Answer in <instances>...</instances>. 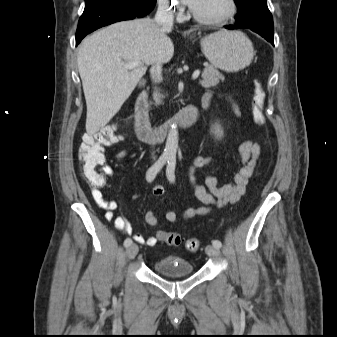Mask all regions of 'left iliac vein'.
I'll return each instance as SVG.
<instances>
[{
  "instance_id": "4c4485c4",
  "label": "left iliac vein",
  "mask_w": 337,
  "mask_h": 337,
  "mask_svg": "<svg viewBox=\"0 0 337 337\" xmlns=\"http://www.w3.org/2000/svg\"><path fill=\"white\" fill-rule=\"evenodd\" d=\"M206 253L209 256H214V257H219L220 256L219 248L214 247L213 245H208L206 247Z\"/></svg>"
}]
</instances>
